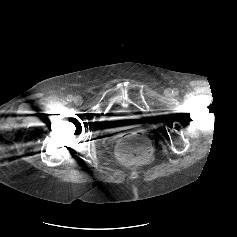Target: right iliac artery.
<instances>
[{
	"mask_svg": "<svg viewBox=\"0 0 237 237\" xmlns=\"http://www.w3.org/2000/svg\"><path fill=\"white\" fill-rule=\"evenodd\" d=\"M66 100H67L68 102H72V101H73V97H72L71 95H68V96L66 97Z\"/></svg>",
	"mask_w": 237,
	"mask_h": 237,
	"instance_id": "right-iliac-artery-1",
	"label": "right iliac artery"
}]
</instances>
